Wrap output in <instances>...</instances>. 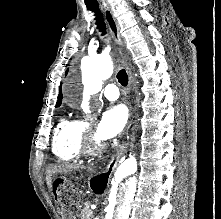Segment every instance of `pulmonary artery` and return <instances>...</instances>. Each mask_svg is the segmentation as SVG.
<instances>
[{"mask_svg":"<svg viewBox=\"0 0 221 219\" xmlns=\"http://www.w3.org/2000/svg\"><path fill=\"white\" fill-rule=\"evenodd\" d=\"M103 94L108 100H116L119 98V90L116 85L108 84L103 88Z\"/></svg>","mask_w":221,"mask_h":219,"instance_id":"obj_1","label":"pulmonary artery"}]
</instances>
